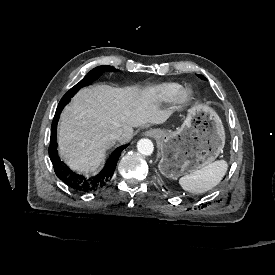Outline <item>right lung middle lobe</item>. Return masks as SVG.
I'll list each match as a JSON object with an SVG mask.
<instances>
[{
    "label": "right lung middle lobe",
    "mask_w": 275,
    "mask_h": 275,
    "mask_svg": "<svg viewBox=\"0 0 275 275\" xmlns=\"http://www.w3.org/2000/svg\"><path fill=\"white\" fill-rule=\"evenodd\" d=\"M103 71L116 72L117 70L111 66L102 65L91 70L79 83L72 87L61 100H70L80 88L91 84L97 77H99Z\"/></svg>",
    "instance_id": "dd1d6c3e"
}]
</instances>
